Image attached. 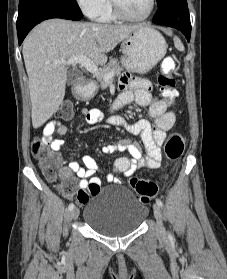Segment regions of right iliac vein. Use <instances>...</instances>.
<instances>
[{"mask_svg":"<svg viewBox=\"0 0 227 279\" xmlns=\"http://www.w3.org/2000/svg\"><path fill=\"white\" fill-rule=\"evenodd\" d=\"M79 216V209L75 207L71 212V217L73 220H76Z\"/></svg>","mask_w":227,"mask_h":279,"instance_id":"1","label":"right iliac vein"}]
</instances>
